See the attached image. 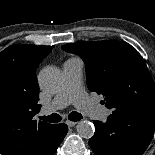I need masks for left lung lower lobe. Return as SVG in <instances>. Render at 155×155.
<instances>
[{"mask_svg": "<svg viewBox=\"0 0 155 155\" xmlns=\"http://www.w3.org/2000/svg\"><path fill=\"white\" fill-rule=\"evenodd\" d=\"M89 145L96 155H142L155 129V114H111L105 123L94 121Z\"/></svg>", "mask_w": 155, "mask_h": 155, "instance_id": "0a47b994", "label": "left lung lower lobe"}]
</instances>
